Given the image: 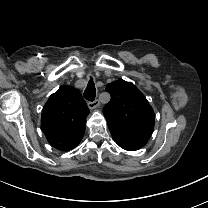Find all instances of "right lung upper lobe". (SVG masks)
I'll return each instance as SVG.
<instances>
[{"label": "right lung upper lobe", "mask_w": 208, "mask_h": 208, "mask_svg": "<svg viewBox=\"0 0 208 208\" xmlns=\"http://www.w3.org/2000/svg\"><path fill=\"white\" fill-rule=\"evenodd\" d=\"M88 114L81 93L62 85L42 109L41 129L50 145L56 147L84 134Z\"/></svg>", "instance_id": "right-lung-upper-lobe-1"}]
</instances>
